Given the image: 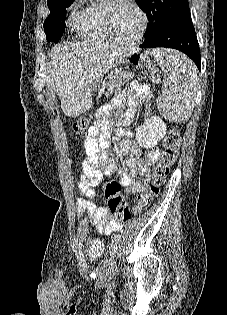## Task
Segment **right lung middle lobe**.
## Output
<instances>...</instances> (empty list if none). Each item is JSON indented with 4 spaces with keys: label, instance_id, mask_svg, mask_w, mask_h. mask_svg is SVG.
I'll list each match as a JSON object with an SVG mask.
<instances>
[{
    "label": "right lung middle lobe",
    "instance_id": "obj_1",
    "mask_svg": "<svg viewBox=\"0 0 227 315\" xmlns=\"http://www.w3.org/2000/svg\"><path fill=\"white\" fill-rule=\"evenodd\" d=\"M74 0H48L50 15L44 21V32L49 42L57 43L65 30L66 8Z\"/></svg>",
    "mask_w": 227,
    "mask_h": 315
}]
</instances>
